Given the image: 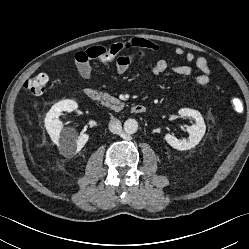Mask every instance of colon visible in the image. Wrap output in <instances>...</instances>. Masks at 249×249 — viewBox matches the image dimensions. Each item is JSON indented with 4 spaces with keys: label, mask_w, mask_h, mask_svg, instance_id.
<instances>
[{
    "label": "colon",
    "mask_w": 249,
    "mask_h": 249,
    "mask_svg": "<svg viewBox=\"0 0 249 249\" xmlns=\"http://www.w3.org/2000/svg\"><path fill=\"white\" fill-rule=\"evenodd\" d=\"M132 48L130 45L114 44L108 48H102L99 51L92 50L89 58L108 62L116 58L122 51ZM48 83V76L39 73L26 82V88L33 94L40 95L45 92ZM230 108L235 113H241L244 109V103L238 96H232L229 101Z\"/></svg>",
    "instance_id": "colon-1"
}]
</instances>
